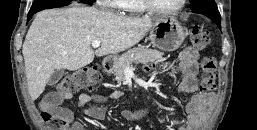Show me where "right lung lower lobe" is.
<instances>
[{"mask_svg":"<svg viewBox=\"0 0 257 130\" xmlns=\"http://www.w3.org/2000/svg\"><path fill=\"white\" fill-rule=\"evenodd\" d=\"M53 7V6H52ZM33 14L31 13H28V20L30 19V17L32 16Z\"/></svg>","mask_w":257,"mask_h":130,"instance_id":"obj_1","label":"right lung lower lobe"}]
</instances>
